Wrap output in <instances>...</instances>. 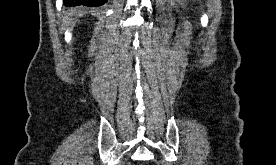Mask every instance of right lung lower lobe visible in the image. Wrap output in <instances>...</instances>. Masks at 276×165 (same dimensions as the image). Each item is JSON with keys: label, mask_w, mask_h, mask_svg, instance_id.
I'll list each match as a JSON object with an SVG mask.
<instances>
[{"label": "right lung lower lobe", "mask_w": 276, "mask_h": 165, "mask_svg": "<svg viewBox=\"0 0 276 165\" xmlns=\"http://www.w3.org/2000/svg\"><path fill=\"white\" fill-rule=\"evenodd\" d=\"M107 0H64V4L67 7L85 5L90 7L101 6Z\"/></svg>", "instance_id": "obj_1"}]
</instances>
